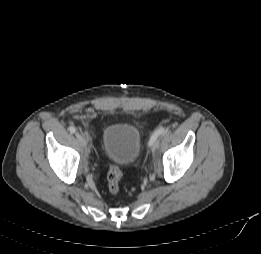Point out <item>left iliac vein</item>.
I'll list each match as a JSON object with an SVG mask.
<instances>
[{
  "label": "left iliac vein",
  "instance_id": "left-iliac-vein-1",
  "mask_svg": "<svg viewBox=\"0 0 261 254\" xmlns=\"http://www.w3.org/2000/svg\"><path fill=\"white\" fill-rule=\"evenodd\" d=\"M159 147V140L156 139L152 144V151L155 152Z\"/></svg>",
  "mask_w": 261,
  "mask_h": 254
}]
</instances>
